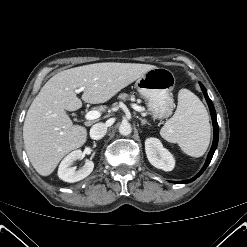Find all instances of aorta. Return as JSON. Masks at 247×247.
<instances>
[{"mask_svg": "<svg viewBox=\"0 0 247 247\" xmlns=\"http://www.w3.org/2000/svg\"><path fill=\"white\" fill-rule=\"evenodd\" d=\"M132 132L131 124L127 121H123L119 126V133L121 135H129Z\"/></svg>", "mask_w": 247, "mask_h": 247, "instance_id": "762f6f07", "label": "aorta"}]
</instances>
